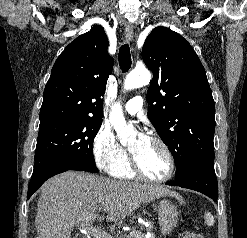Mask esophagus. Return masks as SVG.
Instances as JSON below:
<instances>
[{"label":"esophagus","instance_id":"esophagus-1","mask_svg":"<svg viewBox=\"0 0 247 238\" xmlns=\"http://www.w3.org/2000/svg\"><path fill=\"white\" fill-rule=\"evenodd\" d=\"M134 38V30L131 24L125 26V39L128 43L132 42Z\"/></svg>","mask_w":247,"mask_h":238}]
</instances>
